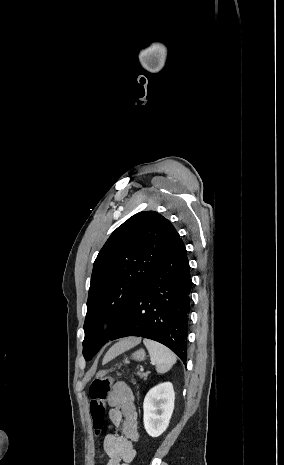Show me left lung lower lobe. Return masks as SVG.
Segmentation results:
<instances>
[{
    "instance_id": "1",
    "label": "left lung lower lobe",
    "mask_w": 284,
    "mask_h": 465,
    "mask_svg": "<svg viewBox=\"0 0 284 465\" xmlns=\"http://www.w3.org/2000/svg\"><path fill=\"white\" fill-rule=\"evenodd\" d=\"M181 238L137 292L111 340L141 336L169 347L186 364L191 279Z\"/></svg>"
}]
</instances>
